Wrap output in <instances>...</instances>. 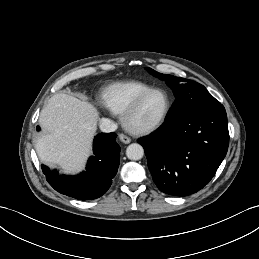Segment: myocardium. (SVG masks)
<instances>
[{
    "label": "myocardium",
    "mask_w": 259,
    "mask_h": 259,
    "mask_svg": "<svg viewBox=\"0 0 259 259\" xmlns=\"http://www.w3.org/2000/svg\"><path fill=\"white\" fill-rule=\"evenodd\" d=\"M160 92L163 93L166 97V108L164 110V113L160 117L159 120L156 122L145 125V126H136L132 123V118L137 113L141 105L145 102V100L152 95L153 93ZM171 110V99L169 94L161 88H152L149 91L142 94L140 97H138L129 107L128 109L123 113L122 115V124L125 127L127 131L134 135H147L149 133H152L153 131L159 129L168 118V115Z\"/></svg>",
    "instance_id": "myocardium-1"
}]
</instances>
